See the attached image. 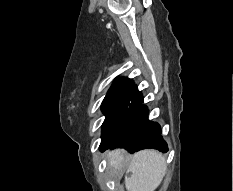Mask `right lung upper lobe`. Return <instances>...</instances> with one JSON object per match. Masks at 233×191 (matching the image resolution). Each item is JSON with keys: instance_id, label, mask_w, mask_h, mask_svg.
Returning a JSON list of instances; mask_svg holds the SVG:
<instances>
[{"instance_id": "right-lung-upper-lobe-1", "label": "right lung upper lobe", "mask_w": 233, "mask_h": 191, "mask_svg": "<svg viewBox=\"0 0 233 191\" xmlns=\"http://www.w3.org/2000/svg\"><path fill=\"white\" fill-rule=\"evenodd\" d=\"M134 82L128 78L117 79L109 89L104 100H110L120 97H125L127 93L134 87Z\"/></svg>"}]
</instances>
